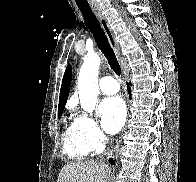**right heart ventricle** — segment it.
Listing matches in <instances>:
<instances>
[{
  "instance_id": "right-heart-ventricle-1",
  "label": "right heart ventricle",
  "mask_w": 196,
  "mask_h": 182,
  "mask_svg": "<svg viewBox=\"0 0 196 182\" xmlns=\"http://www.w3.org/2000/svg\"><path fill=\"white\" fill-rule=\"evenodd\" d=\"M63 142L65 153L73 160H82L89 154L81 140L75 120L65 128Z\"/></svg>"
}]
</instances>
